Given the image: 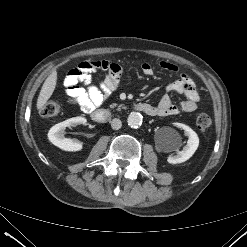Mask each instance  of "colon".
<instances>
[{"instance_id":"colon-1","label":"colon","mask_w":247,"mask_h":247,"mask_svg":"<svg viewBox=\"0 0 247 247\" xmlns=\"http://www.w3.org/2000/svg\"><path fill=\"white\" fill-rule=\"evenodd\" d=\"M59 112H60V106L53 101L47 102L41 108V114L44 117H53L56 116ZM196 125L199 130L206 131L211 127L212 119L208 114L200 113L196 117Z\"/></svg>"}]
</instances>
